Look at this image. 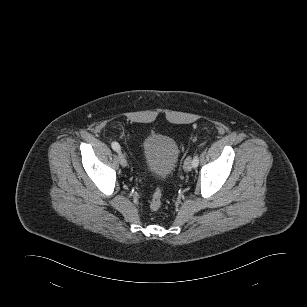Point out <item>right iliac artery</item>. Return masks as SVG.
Instances as JSON below:
<instances>
[{"mask_svg": "<svg viewBox=\"0 0 307 307\" xmlns=\"http://www.w3.org/2000/svg\"><path fill=\"white\" fill-rule=\"evenodd\" d=\"M111 146H112V149H113L114 151L120 152L121 147H120L119 143L113 142Z\"/></svg>", "mask_w": 307, "mask_h": 307, "instance_id": "obj_1", "label": "right iliac artery"}]
</instances>
